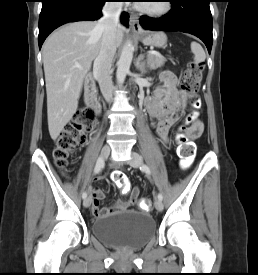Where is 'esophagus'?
I'll return each instance as SVG.
<instances>
[{
	"instance_id": "esophagus-1",
	"label": "esophagus",
	"mask_w": 258,
	"mask_h": 275,
	"mask_svg": "<svg viewBox=\"0 0 258 275\" xmlns=\"http://www.w3.org/2000/svg\"><path fill=\"white\" fill-rule=\"evenodd\" d=\"M130 27L133 31L137 32L141 30L138 15L135 13H131L130 15Z\"/></svg>"
}]
</instances>
